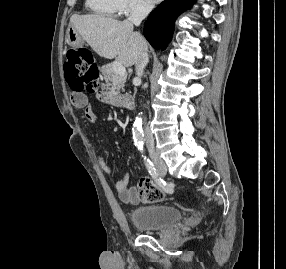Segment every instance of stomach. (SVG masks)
<instances>
[{
    "label": "stomach",
    "mask_w": 286,
    "mask_h": 269,
    "mask_svg": "<svg viewBox=\"0 0 286 269\" xmlns=\"http://www.w3.org/2000/svg\"><path fill=\"white\" fill-rule=\"evenodd\" d=\"M66 41L71 46H80L83 44L82 36L74 27H69L66 32Z\"/></svg>",
    "instance_id": "obj_1"
}]
</instances>
